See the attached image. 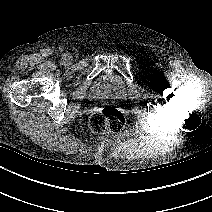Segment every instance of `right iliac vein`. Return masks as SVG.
Listing matches in <instances>:
<instances>
[{
  "mask_svg": "<svg viewBox=\"0 0 212 212\" xmlns=\"http://www.w3.org/2000/svg\"><path fill=\"white\" fill-rule=\"evenodd\" d=\"M65 61H66V62H69V59H68V58H65Z\"/></svg>",
  "mask_w": 212,
  "mask_h": 212,
  "instance_id": "1",
  "label": "right iliac vein"
}]
</instances>
